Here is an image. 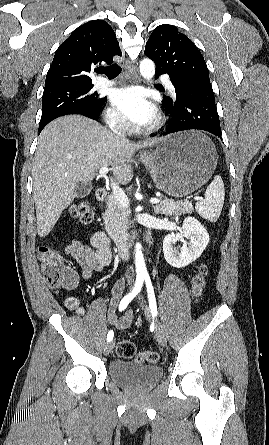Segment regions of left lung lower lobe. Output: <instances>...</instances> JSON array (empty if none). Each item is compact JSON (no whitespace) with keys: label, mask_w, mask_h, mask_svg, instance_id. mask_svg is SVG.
<instances>
[{"label":"left lung lower lobe","mask_w":269,"mask_h":445,"mask_svg":"<svg viewBox=\"0 0 269 445\" xmlns=\"http://www.w3.org/2000/svg\"><path fill=\"white\" fill-rule=\"evenodd\" d=\"M164 73L156 71V78ZM175 97L163 96V104L171 119L161 133L199 129L221 138V128L211 83L205 80L172 81Z\"/></svg>","instance_id":"0a47b994"}]
</instances>
